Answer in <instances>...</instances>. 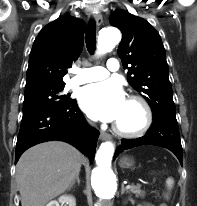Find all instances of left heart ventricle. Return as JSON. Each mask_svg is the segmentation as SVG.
I'll return each mask as SVG.
<instances>
[{"label":"left heart ventricle","instance_id":"left-heart-ventricle-1","mask_svg":"<svg viewBox=\"0 0 197 206\" xmlns=\"http://www.w3.org/2000/svg\"><path fill=\"white\" fill-rule=\"evenodd\" d=\"M116 123L125 129L137 128L142 123L140 107L136 103L126 101L123 114Z\"/></svg>","mask_w":197,"mask_h":206}]
</instances>
